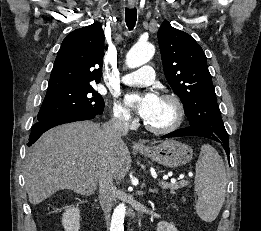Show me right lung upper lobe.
<instances>
[{
  "label": "right lung upper lobe",
  "instance_id": "1",
  "mask_svg": "<svg viewBox=\"0 0 261 231\" xmlns=\"http://www.w3.org/2000/svg\"><path fill=\"white\" fill-rule=\"evenodd\" d=\"M103 48L104 34L98 22L69 33L58 51L48 88L99 83Z\"/></svg>",
  "mask_w": 261,
  "mask_h": 231
}]
</instances>
